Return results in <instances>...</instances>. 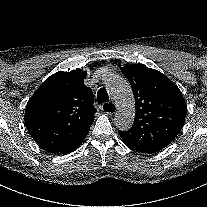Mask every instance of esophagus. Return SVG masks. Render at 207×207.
<instances>
[{
  "mask_svg": "<svg viewBox=\"0 0 207 207\" xmlns=\"http://www.w3.org/2000/svg\"><path fill=\"white\" fill-rule=\"evenodd\" d=\"M102 109L104 110V112H105L106 114H108V115H112V114H114V113L116 112L117 107H116V105H115L114 103H112V102H108V103H106V104L103 106Z\"/></svg>",
  "mask_w": 207,
  "mask_h": 207,
  "instance_id": "esophagus-1",
  "label": "esophagus"
}]
</instances>
